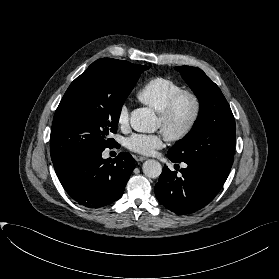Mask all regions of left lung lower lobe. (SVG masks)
<instances>
[{
    "instance_id": "left-lung-lower-lobe-1",
    "label": "left lung lower lobe",
    "mask_w": 279,
    "mask_h": 279,
    "mask_svg": "<svg viewBox=\"0 0 279 279\" xmlns=\"http://www.w3.org/2000/svg\"><path fill=\"white\" fill-rule=\"evenodd\" d=\"M172 162H177L171 156ZM182 176L164 167L155 185L158 201L168 210L179 214H191L206 206L219 192L228 176L204 165L187 164Z\"/></svg>"
}]
</instances>
